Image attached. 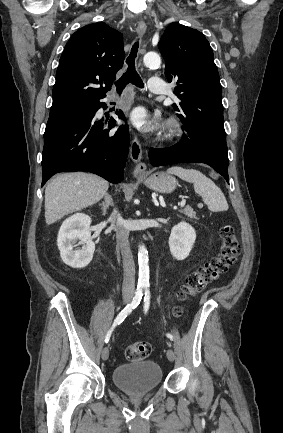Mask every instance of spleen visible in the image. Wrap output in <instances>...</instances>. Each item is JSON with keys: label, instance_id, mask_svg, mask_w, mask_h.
Segmentation results:
<instances>
[{"label": "spleen", "instance_id": "spleen-1", "mask_svg": "<svg viewBox=\"0 0 283 433\" xmlns=\"http://www.w3.org/2000/svg\"><path fill=\"white\" fill-rule=\"evenodd\" d=\"M170 174H177L182 180L193 182L195 192L202 196L205 204L212 212H219V210H228V202L219 186L211 178H207L200 170L195 168H182V166H171L167 168Z\"/></svg>", "mask_w": 283, "mask_h": 433}]
</instances>
